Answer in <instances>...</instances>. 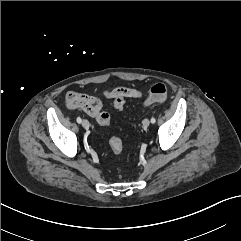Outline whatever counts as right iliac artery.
I'll return each instance as SVG.
<instances>
[{
  "instance_id": "1",
  "label": "right iliac artery",
  "mask_w": 241,
  "mask_h": 241,
  "mask_svg": "<svg viewBox=\"0 0 241 241\" xmlns=\"http://www.w3.org/2000/svg\"><path fill=\"white\" fill-rule=\"evenodd\" d=\"M76 121H77V123H81L82 119L80 117H77Z\"/></svg>"
}]
</instances>
